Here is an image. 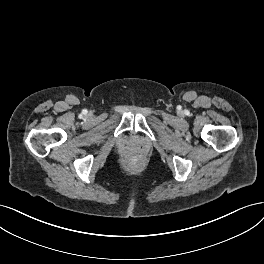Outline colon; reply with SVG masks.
<instances>
[{"instance_id":"1","label":"colon","mask_w":264,"mask_h":264,"mask_svg":"<svg viewBox=\"0 0 264 264\" xmlns=\"http://www.w3.org/2000/svg\"><path fill=\"white\" fill-rule=\"evenodd\" d=\"M127 160L129 163L133 164V165H136L139 163L140 159L138 156H135V155H129L127 157Z\"/></svg>"}]
</instances>
